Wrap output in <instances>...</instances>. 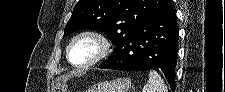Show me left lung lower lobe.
I'll use <instances>...</instances> for the list:
<instances>
[{
    "label": "left lung lower lobe",
    "mask_w": 225,
    "mask_h": 92,
    "mask_svg": "<svg viewBox=\"0 0 225 92\" xmlns=\"http://www.w3.org/2000/svg\"><path fill=\"white\" fill-rule=\"evenodd\" d=\"M178 34L176 12L168 0L141 24L133 38L99 68L160 71L174 90Z\"/></svg>",
    "instance_id": "1"
}]
</instances>
